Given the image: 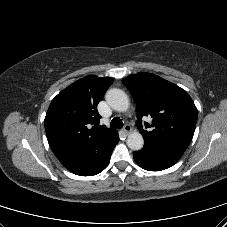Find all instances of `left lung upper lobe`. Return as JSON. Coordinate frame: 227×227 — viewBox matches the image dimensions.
<instances>
[{"mask_svg": "<svg viewBox=\"0 0 227 227\" xmlns=\"http://www.w3.org/2000/svg\"><path fill=\"white\" fill-rule=\"evenodd\" d=\"M137 105V126L145 142L166 144L185 151L197 122V108L188 93L177 85L150 73H137L122 80ZM152 119L145 123L142 117Z\"/></svg>", "mask_w": 227, "mask_h": 227, "instance_id": "obj_1", "label": "left lung upper lobe"}]
</instances>
